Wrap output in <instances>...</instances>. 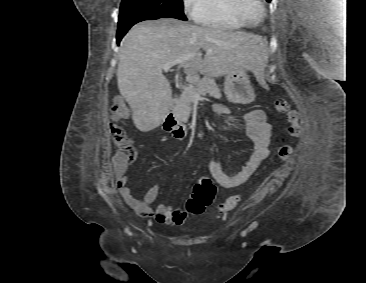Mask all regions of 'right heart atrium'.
<instances>
[{
    "instance_id": "1",
    "label": "right heart atrium",
    "mask_w": 366,
    "mask_h": 283,
    "mask_svg": "<svg viewBox=\"0 0 366 283\" xmlns=\"http://www.w3.org/2000/svg\"><path fill=\"white\" fill-rule=\"evenodd\" d=\"M206 0H182L185 13L194 20H198L204 12Z\"/></svg>"
}]
</instances>
